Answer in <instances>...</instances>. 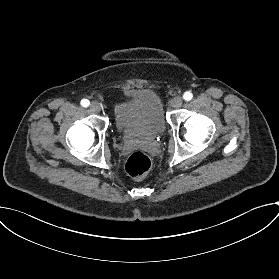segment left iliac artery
I'll return each mask as SVG.
<instances>
[{"label": "left iliac artery", "mask_w": 279, "mask_h": 279, "mask_svg": "<svg viewBox=\"0 0 279 279\" xmlns=\"http://www.w3.org/2000/svg\"><path fill=\"white\" fill-rule=\"evenodd\" d=\"M192 97H193V94H192L191 92H189V91H188V92H185V93L183 94V99L186 100V101L191 100Z\"/></svg>", "instance_id": "left-iliac-artery-1"}]
</instances>
